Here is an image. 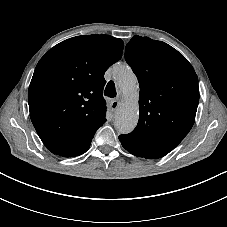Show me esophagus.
I'll return each instance as SVG.
<instances>
[{"mask_svg":"<svg viewBox=\"0 0 227 227\" xmlns=\"http://www.w3.org/2000/svg\"><path fill=\"white\" fill-rule=\"evenodd\" d=\"M119 106H120V102L118 100H113L110 103V108L113 112L116 111L119 108Z\"/></svg>","mask_w":227,"mask_h":227,"instance_id":"34e87169","label":"esophagus"}]
</instances>
